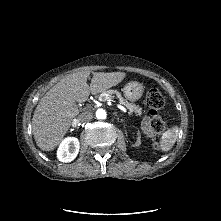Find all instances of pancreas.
Returning <instances> with one entry per match:
<instances>
[{"label": "pancreas", "instance_id": "cf45deb5", "mask_svg": "<svg viewBox=\"0 0 221 221\" xmlns=\"http://www.w3.org/2000/svg\"><path fill=\"white\" fill-rule=\"evenodd\" d=\"M114 96H116L118 98L119 103L122 106H125L129 110L130 114H132V113H135L137 115L142 114V109L138 105L129 103L126 99H124L122 97L120 92H118L117 90H108L106 92H103V93L100 94L99 98H101L103 101H105V99L107 97L114 98Z\"/></svg>", "mask_w": 221, "mask_h": 221}]
</instances>
